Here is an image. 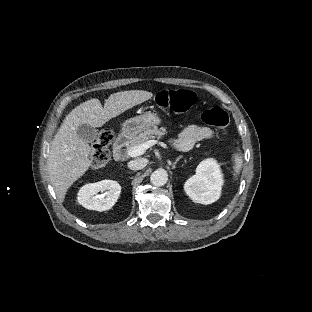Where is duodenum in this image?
<instances>
[{
  "mask_svg": "<svg viewBox=\"0 0 312 312\" xmlns=\"http://www.w3.org/2000/svg\"><path fill=\"white\" fill-rule=\"evenodd\" d=\"M132 138V134L129 131H124L118 135L114 143L113 156L117 162L122 161L126 155V147Z\"/></svg>",
  "mask_w": 312,
  "mask_h": 312,
  "instance_id": "1",
  "label": "duodenum"
}]
</instances>
